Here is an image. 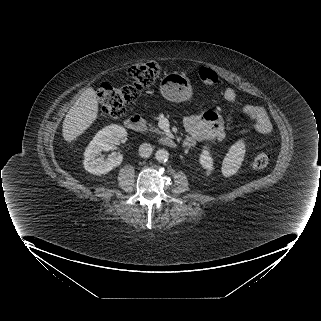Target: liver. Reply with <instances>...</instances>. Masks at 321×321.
Wrapping results in <instances>:
<instances>
[{
    "mask_svg": "<svg viewBox=\"0 0 321 321\" xmlns=\"http://www.w3.org/2000/svg\"><path fill=\"white\" fill-rule=\"evenodd\" d=\"M98 99L93 88L86 89L70 108L63 121L62 135L71 143L84 133L98 117Z\"/></svg>",
    "mask_w": 321,
    "mask_h": 321,
    "instance_id": "1",
    "label": "liver"
}]
</instances>
